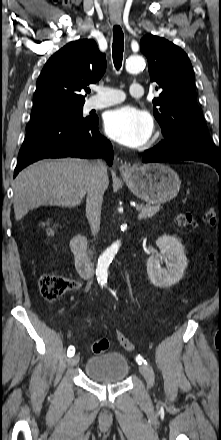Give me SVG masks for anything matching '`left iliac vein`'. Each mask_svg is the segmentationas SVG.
<instances>
[{"label": "left iliac vein", "mask_w": 221, "mask_h": 440, "mask_svg": "<svg viewBox=\"0 0 221 440\" xmlns=\"http://www.w3.org/2000/svg\"><path fill=\"white\" fill-rule=\"evenodd\" d=\"M139 371L143 375V377L145 378L148 388H152L154 385V381H155V375H154L152 368L142 364L139 366Z\"/></svg>", "instance_id": "left-iliac-vein-1"}]
</instances>
